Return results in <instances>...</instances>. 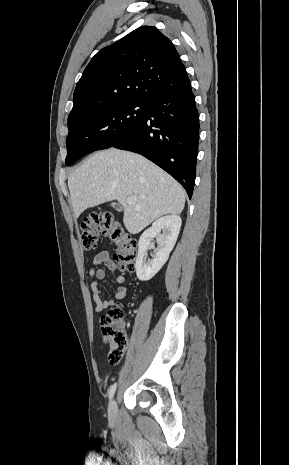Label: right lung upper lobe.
Instances as JSON below:
<instances>
[{
    "mask_svg": "<svg viewBox=\"0 0 289 465\" xmlns=\"http://www.w3.org/2000/svg\"><path fill=\"white\" fill-rule=\"evenodd\" d=\"M189 84L185 66L172 42L155 27H140L92 58L76 85L68 127L80 122L92 105L150 101Z\"/></svg>",
    "mask_w": 289,
    "mask_h": 465,
    "instance_id": "right-lung-upper-lobe-1",
    "label": "right lung upper lobe"
}]
</instances>
